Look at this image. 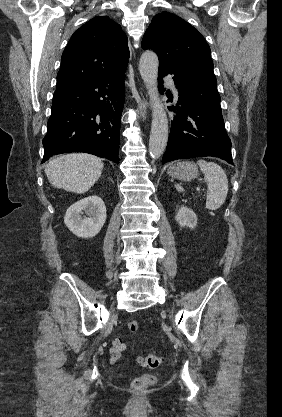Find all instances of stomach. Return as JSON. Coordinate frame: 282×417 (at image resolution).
<instances>
[{
	"mask_svg": "<svg viewBox=\"0 0 282 417\" xmlns=\"http://www.w3.org/2000/svg\"><path fill=\"white\" fill-rule=\"evenodd\" d=\"M170 176H174V178H179V180H192V178H196L198 174V168L195 162H175V164H171L167 170Z\"/></svg>",
	"mask_w": 282,
	"mask_h": 417,
	"instance_id": "1",
	"label": "stomach"
}]
</instances>
